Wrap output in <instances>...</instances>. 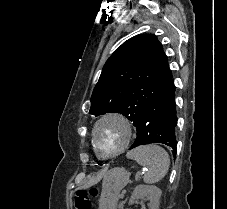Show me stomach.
Listing matches in <instances>:
<instances>
[{"label": "stomach", "mask_w": 227, "mask_h": 209, "mask_svg": "<svg viewBox=\"0 0 227 209\" xmlns=\"http://www.w3.org/2000/svg\"><path fill=\"white\" fill-rule=\"evenodd\" d=\"M129 173L122 167L107 171L103 178L99 209H116L120 191L127 185Z\"/></svg>", "instance_id": "stomach-1"}]
</instances>
